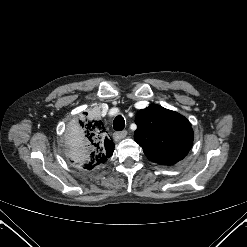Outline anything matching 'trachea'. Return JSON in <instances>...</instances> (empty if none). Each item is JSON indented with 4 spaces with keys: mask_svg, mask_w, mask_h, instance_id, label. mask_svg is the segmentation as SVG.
Returning <instances> with one entry per match:
<instances>
[{
    "mask_svg": "<svg viewBox=\"0 0 247 247\" xmlns=\"http://www.w3.org/2000/svg\"><path fill=\"white\" fill-rule=\"evenodd\" d=\"M125 127V120L121 115H118L113 121V128L116 131H122Z\"/></svg>",
    "mask_w": 247,
    "mask_h": 247,
    "instance_id": "1",
    "label": "trachea"
}]
</instances>
